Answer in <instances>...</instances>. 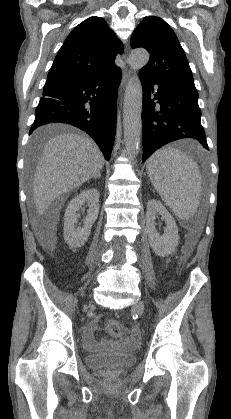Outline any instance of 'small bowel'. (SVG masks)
<instances>
[{
    "label": "small bowel",
    "instance_id": "1",
    "mask_svg": "<svg viewBox=\"0 0 231 419\" xmlns=\"http://www.w3.org/2000/svg\"><path fill=\"white\" fill-rule=\"evenodd\" d=\"M98 329L97 321H92L88 324L84 331V340H85V347L87 349L93 350L97 347L98 343H105V340L96 341L94 338V332ZM137 342V337L133 334L130 338L125 340V343L134 344Z\"/></svg>",
    "mask_w": 231,
    "mask_h": 419
}]
</instances>
